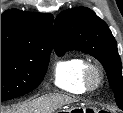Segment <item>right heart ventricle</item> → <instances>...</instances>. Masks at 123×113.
Instances as JSON below:
<instances>
[{"instance_id":"1","label":"right heart ventricle","mask_w":123,"mask_h":113,"mask_svg":"<svg viewBox=\"0 0 123 113\" xmlns=\"http://www.w3.org/2000/svg\"><path fill=\"white\" fill-rule=\"evenodd\" d=\"M86 62L78 56L59 59L53 67L54 84L66 91L77 92L85 87L83 69Z\"/></svg>"}]
</instances>
